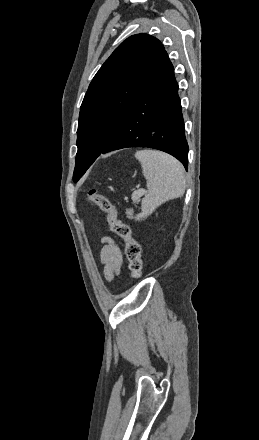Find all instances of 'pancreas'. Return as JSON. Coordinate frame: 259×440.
<instances>
[{
	"label": "pancreas",
	"instance_id": "pancreas-1",
	"mask_svg": "<svg viewBox=\"0 0 259 440\" xmlns=\"http://www.w3.org/2000/svg\"><path fill=\"white\" fill-rule=\"evenodd\" d=\"M132 213H133V211H132V210H127V214H128L129 216H131V215H132Z\"/></svg>",
	"mask_w": 259,
	"mask_h": 440
}]
</instances>
